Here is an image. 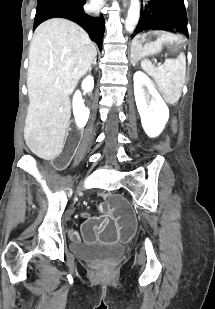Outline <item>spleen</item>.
Instances as JSON below:
<instances>
[{
  "mask_svg": "<svg viewBox=\"0 0 215 309\" xmlns=\"http://www.w3.org/2000/svg\"><path fill=\"white\" fill-rule=\"evenodd\" d=\"M181 56L182 52L178 58H166L164 64H160V66L152 64L149 58H144L140 62L143 70H146L150 76H153L161 94H163L164 100L169 102V104H175L181 96L183 86V74L179 68Z\"/></svg>",
  "mask_w": 215,
  "mask_h": 309,
  "instance_id": "obj_1",
  "label": "spleen"
}]
</instances>
